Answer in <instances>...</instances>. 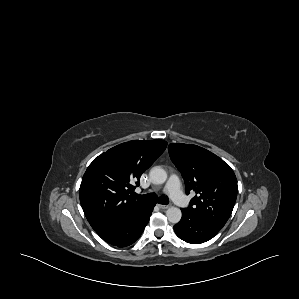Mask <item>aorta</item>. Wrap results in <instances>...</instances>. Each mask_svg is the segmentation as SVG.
Masks as SVG:
<instances>
[{"label":"aorta","instance_id":"obj_1","mask_svg":"<svg viewBox=\"0 0 299 299\" xmlns=\"http://www.w3.org/2000/svg\"><path fill=\"white\" fill-rule=\"evenodd\" d=\"M150 179L154 184H163L167 180V173L166 171L161 168L160 166H155L150 170ZM166 216L169 222L171 223H178L181 220L182 212L177 207H170L166 211Z\"/></svg>","mask_w":299,"mask_h":299}]
</instances>
